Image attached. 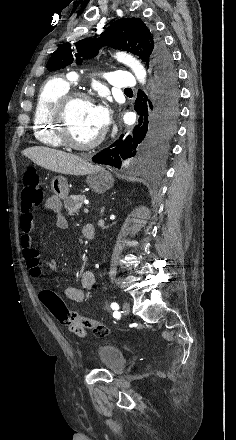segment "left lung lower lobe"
<instances>
[{
  "mask_svg": "<svg viewBox=\"0 0 236 440\" xmlns=\"http://www.w3.org/2000/svg\"><path fill=\"white\" fill-rule=\"evenodd\" d=\"M153 93L151 99L139 91L135 111L138 124L129 134H122L109 148L97 153L93 162L120 168L124 160L148 152L162 151L176 131L179 116L177 77L170 64L161 61L152 65Z\"/></svg>",
  "mask_w": 236,
  "mask_h": 440,
  "instance_id": "1",
  "label": "left lung lower lobe"
}]
</instances>
